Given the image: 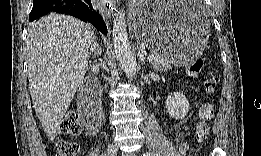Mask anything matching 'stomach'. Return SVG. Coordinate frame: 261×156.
<instances>
[{
  "mask_svg": "<svg viewBox=\"0 0 261 156\" xmlns=\"http://www.w3.org/2000/svg\"><path fill=\"white\" fill-rule=\"evenodd\" d=\"M130 16L136 38L154 54L176 65H189L202 55L210 24L199 3L136 2Z\"/></svg>",
  "mask_w": 261,
  "mask_h": 156,
  "instance_id": "1",
  "label": "stomach"
}]
</instances>
